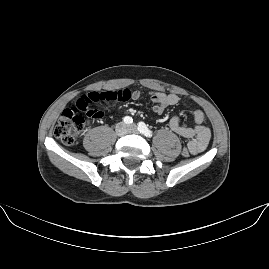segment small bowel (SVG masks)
<instances>
[{
  "instance_id": "c3829d8e",
  "label": "small bowel",
  "mask_w": 269,
  "mask_h": 269,
  "mask_svg": "<svg viewBox=\"0 0 269 269\" xmlns=\"http://www.w3.org/2000/svg\"><path fill=\"white\" fill-rule=\"evenodd\" d=\"M151 108L156 114H161L170 106H174L179 102V97L173 93H164L159 91L150 92ZM142 94L139 91H133L130 93V99L137 101L140 100ZM204 113L200 110H196L193 113L194 126L185 127L181 125V116L173 115L169 120V128L178 134L179 136L189 139L188 149L192 155H198L202 153L208 146L211 132L210 129L205 126Z\"/></svg>"
}]
</instances>
